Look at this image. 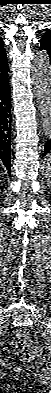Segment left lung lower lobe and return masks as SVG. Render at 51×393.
Returning a JSON list of instances; mask_svg holds the SVG:
<instances>
[{"label": "left lung lower lobe", "instance_id": "1", "mask_svg": "<svg viewBox=\"0 0 51 393\" xmlns=\"http://www.w3.org/2000/svg\"><path fill=\"white\" fill-rule=\"evenodd\" d=\"M45 149H44V156L51 151V139L46 142L45 144Z\"/></svg>", "mask_w": 51, "mask_h": 393}]
</instances>
